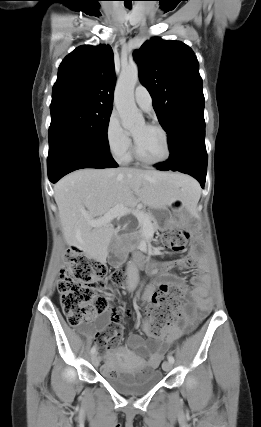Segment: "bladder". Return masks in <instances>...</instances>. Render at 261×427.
I'll use <instances>...</instances> for the list:
<instances>
[{"label": "bladder", "instance_id": "obj_1", "mask_svg": "<svg viewBox=\"0 0 261 427\" xmlns=\"http://www.w3.org/2000/svg\"><path fill=\"white\" fill-rule=\"evenodd\" d=\"M103 379L125 394H142L152 390L162 380L159 370L139 372L117 358L109 359L102 368Z\"/></svg>", "mask_w": 261, "mask_h": 427}]
</instances>
